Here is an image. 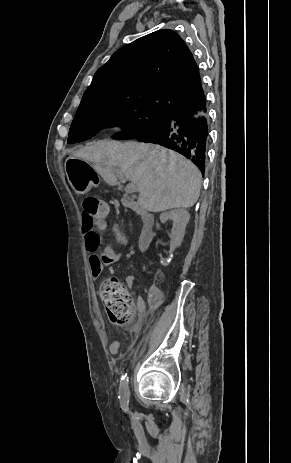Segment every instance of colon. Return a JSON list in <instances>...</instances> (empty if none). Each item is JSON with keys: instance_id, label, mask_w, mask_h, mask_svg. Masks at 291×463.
I'll use <instances>...</instances> for the list:
<instances>
[{"instance_id": "colon-1", "label": "colon", "mask_w": 291, "mask_h": 463, "mask_svg": "<svg viewBox=\"0 0 291 463\" xmlns=\"http://www.w3.org/2000/svg\"><path fill=\"white\" fill-rule=\"evenodd\" d=\"M82 228L91 230L97 228V218L107 216L106 204L95 197H87L82 203ZM100 297L112 322L118 325L129 323L134 314L133 301L126 287L117 278H106L100 287ZM162 294L151 291L149 301L152 305L161 302Z\"/></svg>"}]
</instances>
